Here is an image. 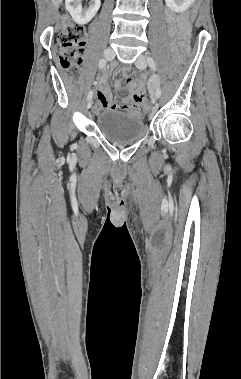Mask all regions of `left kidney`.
Instances as JSON below:
<instances>
[{
    "label": "left kidney",
    "mask_w": 241,
    "mask_h": 379,
    "mask_svg": "<svg viewBox=\"0 0 241 379\" xmlns=\"http://www.w3.org/2000/svg\"><path fill=\"white\" fill-rule=\"evenodd\" d=\"M195 0H165L166 5L174 12L186 11Z\"/></svg>",
    "instance_id": "obj_1"
}]
</instances>
